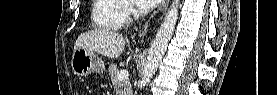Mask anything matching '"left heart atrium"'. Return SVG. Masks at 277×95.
Wrapping results in <instances>:
<instances>
[{
    "mask_svg": "<svg viewBox=\"0 0 277 95\" xmlns=\"http://www.w3.org/2000/svg\"><path fill=\"white\" fill-rule=\"evenodd\" d=\"M138 8L141 10H152L158 3V0H135Z\"/></svg>",
    "mask_w": 277,
    "mask_h": 95,
    "instance_id": "39dd6f15",
    "label": "left heart atrium"
}]
</instances>
